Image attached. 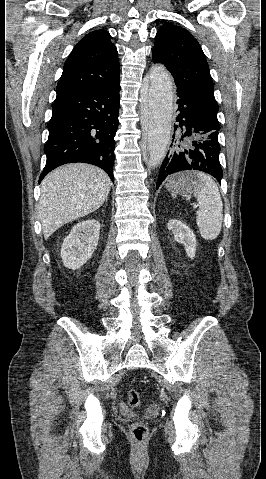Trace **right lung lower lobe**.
Instances as JSON below:
<instances>
[{"label": "right lung lower lobe", "instance_id": "obj_1", "mask_svg": "<svg viewBox=\"0 0 266 479\" xmlns=\"http://www.w3.org/2000/svg\"><path fill=\"white\" fill-rule=\"evenodd\" d=\"M120 78L90 88L57 93L49 137L47 161L39 182L56 167L84 162L102 168L114 181V136L118 128Z\"/></svg>", "mask_w": 266, "mask_h": 479}]
</instances>
